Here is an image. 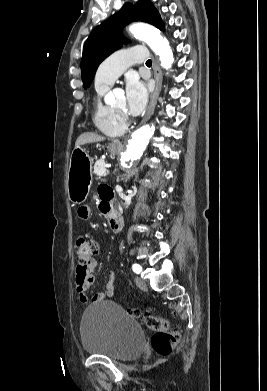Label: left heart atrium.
<instances>
[{
	"instance_id": "obj_1",
	"label": "left heart atrium",
	"mask_w": 267,
	"mask_h": 391,
	"mask_svg": "<svg viewBox=\"0 0 267 391\" xmlns=\"http://www.w3.org/2000/svg\"><path fill=\"white\" fill-rule=\"evenodd\" d=\"M148 91L138 78L129 77L126 82V110L130 115L140 114L147 103Z\"/></svg>"
}]
</instances>
